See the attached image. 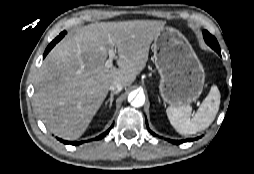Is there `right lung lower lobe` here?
Instances as JSON below:
<instances>
[{"mask_svg": "<svg viewBox=\"0 0 254 174\" xmlns=\"http://www.w3.org/2000/svg\"><path fill=\"white\" fill-rule=\"evenodd\" d=\"M65 34H66V31L60 33V35H59L57 38H55V39L48 45V47L46 48V50H45V52H44L43 58H44V57L48 54V52L55 46V44H56L57 42H59V41L64 37ZM112 127H113V125H112L106 132H104L103 134H101L100 136H98V137L96 138V140H97V139L103 138V137L110 131V129H111ZM58 140H60L61 142L65 143V144H72V145H80V144L82 143V142H77V141H75V142L65 141V140H62V139H60V138H58Z\"/></svg>", "mask_w": 254, "mask_h": 174, "instance_id": "98d812e1", "label": "right lung lower lobe"}]
</instances>
